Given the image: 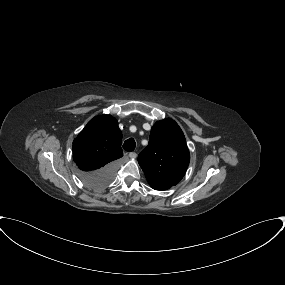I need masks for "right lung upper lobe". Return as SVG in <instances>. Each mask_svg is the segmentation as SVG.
<instances>
[{"label":"right lung upper lobe","mask_w":285,"mask_h":285,"mask_svg":"<svg viewBox=\"0 0 285 285\" xmlns=\"http://www.w3.org/2000/svg\"><path fill=\"white\" fill-rule=\"evenodd\" d=\"M122 133L110 115L91 119L73 141V159L83 172H93L123 156Z\"/></svg>","instance_id":"cb5924a9"}]
</instances>
